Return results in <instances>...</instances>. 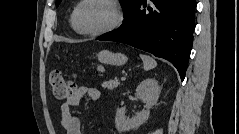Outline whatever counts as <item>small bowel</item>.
I'll return each instance as SVG.
<instances>
[{"label": "small bowel", "mask_w": 239, "mask_h": 134, "mask_svg": "<svg viewBox=\"0 0 239 134\" xmlns=\"http://www.w3.org/2000/svg\"><path fill=\"white\" fill-rule=\"evenodd\" d=\"M100 97V91L92 86H79L73 94L61 105V125L66 134H81V123L77 116L72 112L74 107L80 104L84 98L97 100Z\"/></svg>", "instance_id": "obj_1"}]
</instances>
